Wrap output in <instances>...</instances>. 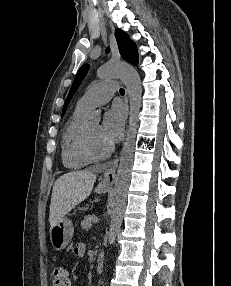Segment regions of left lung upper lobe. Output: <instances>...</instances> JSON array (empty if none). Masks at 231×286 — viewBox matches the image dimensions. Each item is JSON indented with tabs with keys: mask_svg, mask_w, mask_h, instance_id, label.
<instances>
[{
	"mask_svg": "<svg viewBox=\"0 0 231 286\" xmlns=\"http://www.w3.org/2000/svg\"><path fill=\"white\" fill-rule=\"evenodd\" d=\"M115 37H116V40L118 43V48H119V51H120L122 58L124 60L128 61L129 63L133 64V65H137L138 64V54H137L136 46H135L134 42L129 38L127 33L122 31L121 29H117L115 32ZM108 50L109 49H107V51ZM88 69H89V65L85 64L78 70L76 77L74 79V82L72 84V87L69 91L68 97L64 103L62 115H64L66 108L70 102V99L72 98L73 94L75 93V91L79 87V85H80L81 81L83 80V78L85 77Z\"/></svg>",
	"mask_w": 231,
	"mask_h": 286,
	"instance_id": "1",
	"label": "left lung upper lobe"
}]
</instances>
